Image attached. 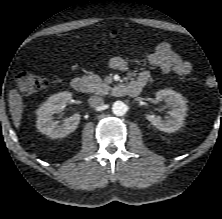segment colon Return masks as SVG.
<instances>
[{
  "label": "colon",
  "mask_w": 222,
  "mask_h": 219,
  "mask_svg": "<svg viewBox=\"0 0 222 219\" xmlns=\"http://www.w3.org/2000/svg\"><path fill=\"white\" fill-rule=\"evenodd\" d=\"M110 36H116L117 32H110ZM47 81L44 77L33 74L26 69H20L16 73L17 88L26 94L36 93L45 88ZM218 81L213 76H208L205 79V86L209 89L216 87Z\"/></svg>",
  "instance_id": "obj_1"
}]
</instances>
